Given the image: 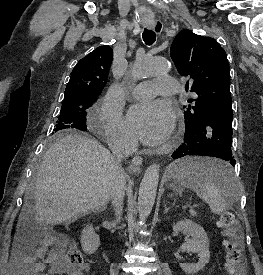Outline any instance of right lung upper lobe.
I'll use <instances>...</instances> for the list:
<instances>
[{
	"label": "right lung upper lobe",
	"mask_w": 263,
	"mask_h": 275,
	"mask_svg": "<svg viewBox=\"0 0 263 275\" xmlns=\"http://www.w3.org/2000/svg\"><path fill=\"white\" fill-rule=\"evenodd\" d=\"M113 50L109 46L96 48L82 58L71 72L65 98L79 95L98 96L106 85Z\"/></svg>",
	"instance_id": "right-lung-upper-lobe-1"
}]
</instances>
